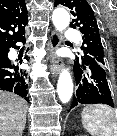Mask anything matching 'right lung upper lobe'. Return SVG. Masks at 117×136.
Masks as SVG:
<instances>
[{"label": "right lung upper lobe", "instance_id": "obj_1", "mask_svg": "<svg viewBox=\"0 0 117 136\" xmlns=\"http://www.w3.org/2000/svg\"><path fill=\"white\" fill-rule=\"evenodd\" d=\"M27 14L25 0H0V54L25 34Z\"/></svg>", "mask_w": 117, "mask_h": 136}]
</instances>
